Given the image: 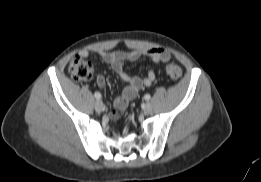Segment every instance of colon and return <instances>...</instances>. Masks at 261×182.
Segmentation results:
<instances>
[{"label": "colon", "instance_id": "obj_1", "mask_svg": "<svg viewBox=\"0 0 261 182\" xmlns=\"http://www.w3.org/2000/svg\"><path fill=\"white\" fill-rule=\"evenodd\" d=\"M68 72L76 81H88L93 77L92 64L80 55H75L70 59ZM166 73L172 79H179L182 75V70L178 65L168 62L166 64Z\"/></svg>", "mask_w": 261, "mask_h": 182}]
</instances>
